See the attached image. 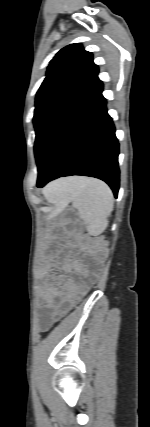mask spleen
Returning <instances> with one entry per match:
<instances>
[{
  "label": "spleen",
  "instance_id": "spleen-1",
  "mask_svg": "<svg viewBox=\"0 0 150 427\" xmlns=\"http://www.w3.org/2000/svg\"><path fill=\"white\" fill-rule=\"evenodd\" d=\"M47 200L60 204L71 202L78 210L88 233L97 236L108 226L114 208L109 186L101 180L73 177L51 184L45 190Z\"/></svg>",
  "mask_w": 150,
  "mask_h": 427
}]
</instances>
